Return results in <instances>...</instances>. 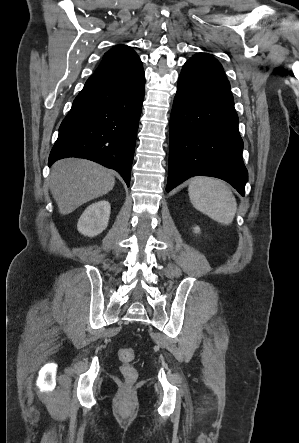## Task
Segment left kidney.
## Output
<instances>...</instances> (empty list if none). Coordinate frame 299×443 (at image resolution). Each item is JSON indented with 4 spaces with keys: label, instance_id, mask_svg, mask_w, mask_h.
<instances>
[{
    "label": "left kidney",
    "instance_id": "left-kidney-1",
    "mask_svg": "<svg viewBox=\"0 0 299 443\" xmlns=\"http://www.w3.org/2000/svg\"><path fill=\"white\" fill-rule=\"evenodd\" d=\"M199 231H200V228H199V227H195V228H194V232H195V233H199Z\"/></svg>",
    "mask_w": 299,
    "mask_h": 443
}]
</instances>
